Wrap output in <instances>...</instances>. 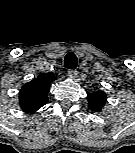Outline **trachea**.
Here are the masks:
<instances>
[{"mask_svg": "<svg viewBox=\"0 0 135 153\" xmlns=\"http://www.w3.org/2000/svg\"><path fill=\"white\" fill-rule=\"evenodd\" d=\"M77 66V57L73 52H69L64 59V67L74 70Z\"/></svg>", "mask_w": 135, "mask_h": 153, "instance_id": "trachea-1", "label": "trachea"}]
</instances>
